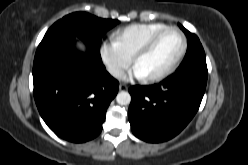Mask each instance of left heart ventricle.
<instances>
[{
    "mask_svg": "<svg viewBox=\"0 0 248 165\" xmlns=\"http://www.w3.org/2000/svg\"><path fill=\"white\" fill-rule=\"evenodd\" d=\"M181 46L180 35L175 31H168L157 40L148 53L138 59L136 65L142 68L147 77L158 74L174 61Z\"/></svg>",
    "mask_w": 248,
    "mask_h": 165,
    "instance_id": "b2bd125f",
    "label": "left heart ventricle"
}]
</instances>
